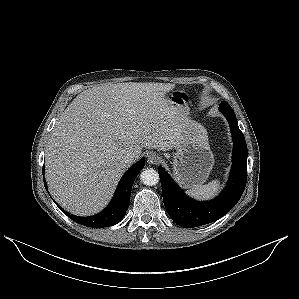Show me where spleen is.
<instances>
[{
  "label": "spleen",
  "instance_id": "1",
  "mask_svg": "<svg viewBox=\"0 0 299 299\" xmlns=\"http://www.w3.org/2000/svg\"><path fill=\"white\" fill-rule=\"evenodd\" d=\"M219 189L220 181L216 179L208 184L192 187L186 191V194L196 199L208 200L217 195Z\"/></svg>",
  "mask_w": 299,
  "mask_h": 299
}]
</instances>
